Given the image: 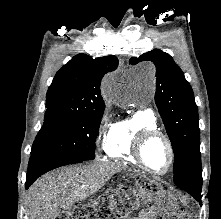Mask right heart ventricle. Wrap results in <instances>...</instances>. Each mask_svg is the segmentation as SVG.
<instances>
[{
    "mask_svg": "<svg viewBox=\"0 0 221 219\" xmlns=\"http://www.w3.org/2000/svg\"><path fill=\"white\" fill-rule=\"evenodd\" d=\"M145 128L157 129L156 117L150 110H139L114 122L110 127L104 146L107 157L131 165H138L132 154V144L137 133Z\"/></svg>",
    "mask_w": 221,
    "mask_h": 219,
    "instance_id": "1",
    "label": "right heart ventricle"
}]
</instances>
